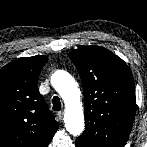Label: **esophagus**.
Returning a JSON list of instances; mask_svg holds the SVG:
<instances>
[{"mask_svg":"<svg viewBox=\"0 0 147 147\" xmlns=\"http://www.w3.org/2000/svg\"><path fill=\"white\" fill-rule=\"evenodd\" d=\"M57 116H58V119H59L60 121H63V120H64V113H63L62 111L58 112V113H57Z\"/></svg>","mask_w":147,"mask_h":147,"instance_id":"obj_1","label":"esophagus"}]
</instances>
